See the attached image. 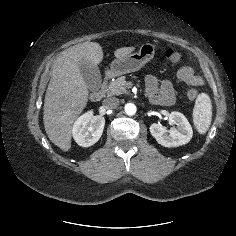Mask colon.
Masks as SVG:
<instances>
[{"label":"colon","mask_w":236,"mask_h":236,"mask_svg":"<svg viewBox=\"0 0 236 236\" xmlns=\"http://www.w3.org/2000/svg\"><path fill=\"white\" fill-rule=\"evenodd\" d=\"M166 59L170 64H179L183 60V53L177 49L170 48L166 51ZM187 96L189 99L194 100L198 96V92L190 88L187 90Z\"/></svg>","instance_id":"obj_1"}]
</instances>
